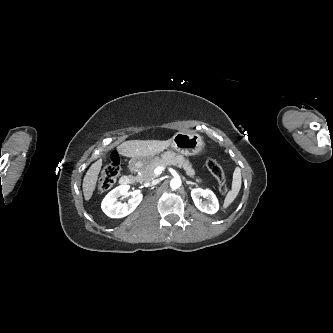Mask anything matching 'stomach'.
<instances>
[{"label": "stomach", "mask_w": 333, "mask_h": 333, "mask_svg": "<svg viewBox=\"0 0 333 333\" xmlns=\"http://www.w3.org/2000/svg\"><path fill=\"white\" fill-rule=\"evenodd\" d=\"M170 140L172 148L179 154L185 156L198 155L205 150L203 137L197 133L178 132ZM163 154H161V156ZM157 155L146 158H132L129 161V166L135 169L142 168L148 162L156 158Z\"/></svg>", "instance_id": "1"}]
</instances>
